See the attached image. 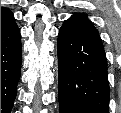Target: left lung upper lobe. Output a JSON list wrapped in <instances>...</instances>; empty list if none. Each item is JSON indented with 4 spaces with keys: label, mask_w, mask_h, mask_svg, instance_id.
<instances>
[{
    "label": "left lung upper lobe",
    "mask_w": 121,
    "mask_h": 113,
    "mask_svg": "<svg viewBox=\"0 0 121 113\" xmlns=\"http://www.w3.org/2000/svg\"><path fill=\"white\" fill-rule=\"evenodd\" d=\"M73 17H77L79 19H81L82 21L87 22L88 24L92 25L91 22L88 20L87 15L83 14V13H76L73 15ZM93 26V25H92ZM94 27V26H93Z\"/></svg>",
    "instance_id": "obj_1"
}]
</instances>
